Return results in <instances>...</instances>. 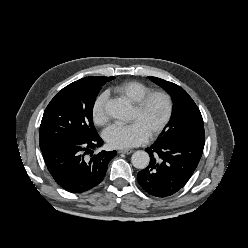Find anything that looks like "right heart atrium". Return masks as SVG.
<instances>
[{"mask_svg": "<svg viewBox=\"0 0 248 248\" xmlns=\"http://www.w3.org/2000/svg\"><path fill=\"white\" fill-rule=\"evenodd\" d=\"M107 93H101L95 100L92 107V119L95 124L103 126L108 122V114L106 111Z\"/></svg>", "mask_w": 248, "mask_h": 248, "instance_id": "1", "label": "right heart atrium"}]
</instances>
